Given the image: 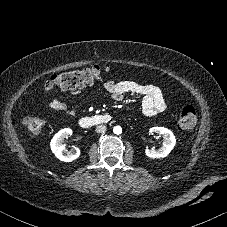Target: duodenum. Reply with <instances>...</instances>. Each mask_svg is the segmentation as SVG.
Wrapping results in <instances>:
<instances>
[{
  "label": "duodenum",
  "mask_w": 227,
  "mask_h": 227,
  "mask_svg": "<svg viewBox=\"0 0 227 227\" xmlns=\"http://www.w3.org/2000/svg\"><path fill=\"white\" fill-rule=\"evenodd\" d=\"M111 120V116L108 114L94 115L90 117H83L79 120V125L82 128H91L100 124L107 123Z\"/></svg>",
  "instance_id": "obj_1"
}]
</instances>
